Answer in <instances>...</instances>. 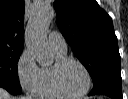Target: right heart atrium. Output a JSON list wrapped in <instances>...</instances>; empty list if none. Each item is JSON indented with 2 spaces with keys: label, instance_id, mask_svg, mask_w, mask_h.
<instances>
[{
  "label": "right heart atrium",
  "instance_id": "d8ad5b80",
  "mask_svg": "<svg viewBox=\"0 0 128 99\" xmlns=\"http://www.w3.org/2000/svg\"><path fill=\"white\" fill-rule=\"evenodd\" d=\"M17 76L22 89L33 93L40 79V67L28 49H25L19 56Z\"/></svg>",
  "mask_w": 128,
  "mask_h": 99
}]
</instances>
